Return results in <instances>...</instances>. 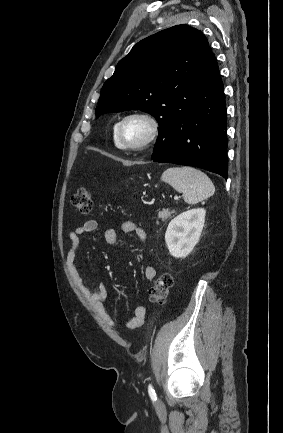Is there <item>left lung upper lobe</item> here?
Returning a JSON list of instances; mask_svg holds the SVG:
<instances>
[{"label": "left lung upper lobe", "mask_w": 283, "mask_h": 433, "mask_svg": "<svg viewBox=\"0 0 283 433\" xmlns=\"http://www.w3.org/2000/svg\"><path fill=\"white\" fill-rule=\"evenodd\" d=\"M211 54L205 36L188 25L141 40L103 85L96 117L142 110L160 127L172 124L194 107L196 79Z\"/></svg>", "instance_id": "obj_1"}]
</instances>
